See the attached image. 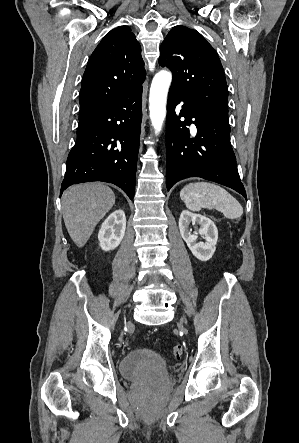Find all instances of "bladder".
Here are the masks:
<instances>
[{
  "mask_svg": "<svg viewBox=\"0 0 299 443\" xmlns=\"http://www.w3.org/2000/svg\"><path fill=\"white\" fill-rule=\"evenodd\" d=\"M122 376L129 379H144L152 383L169 378V369L163 358L149 348H136L122 357L119 364Z\"/></svg>",
  "mask_w": 299,
  "mask_h": 443,
  "instance_id": "1",
  "label": "bladder"
}]
</instances>
